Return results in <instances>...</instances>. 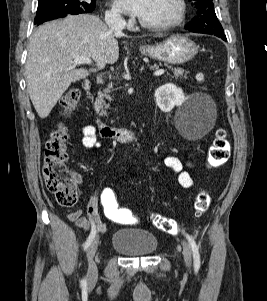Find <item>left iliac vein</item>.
<instances>
[{
  "instance_id": "left-iliac-vein-1",
  "label": "left iliac vein",
  "mask_w": 267,
  "mask_h": 301,
  "mask_svg": "<svg viewBox=\"0 0 267 301\" xmlns=\"http://www.w3.org/2000/svg\"><path fill=\"white\" fill-rule=\"evenodd\" d=\"M182 246H183V257H184L185 264L188 267H190L192 263V253H191L190 246L184 240L182 241Z\"/></svg>"
}]
</instances>
